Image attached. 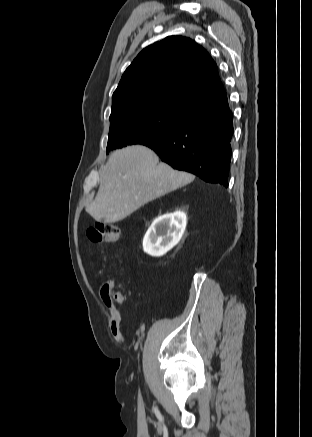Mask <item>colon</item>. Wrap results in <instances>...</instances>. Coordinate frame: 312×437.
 Segmentation results:
<instances>
[{
	"mask_svg": "<svg viewBox=\"0 0 312 437\" xmlns=\"http://www.w3.org/2000/svg\"><path fill=\"white\" fill-rule=\"evenodd\" d=\"M87 236L91 241L100 243H116L120 238V230L111 223L98 222L93 228L88 229ZM111 288L112 286L109 285ZM113 296L120 302L124 301L123 296L112 289Z\"/></svg>",
	"mask_w": 312,
	"mask_h": 437,
	"instance_id": "colon-1",
	"label": "colon"
}]
</instances>
